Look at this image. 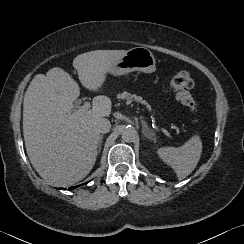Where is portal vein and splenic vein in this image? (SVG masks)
<instances>
[{
	"label": "portal vein and splenic vein",
	"mask_w": 244,
	"mask_h": 244,
	"mask_svg": "<svg viewBox=\"0 0 244 244\" xmlns=\"http://www.w3.org/2000/svg\"><path fill=\"white\" fill-rule=\"evenodd\" d=\"M91 107L90 102H85L82 106H80L78 108V110H76L73 114L74 115H81L83 113H85L89 108ZM167 135L172 138V136L170 135V133H167Z\"/></svg>",
	"instance_id": "1"
}]
</instances>
